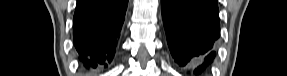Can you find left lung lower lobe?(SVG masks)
Returning a JSON list of instances; mask_svg holds the SVG:
<instances>
[{
    "label": "left lung lower lobe",
    "mask_w": 287,
    "mask_h": 76,
    "mask_svg": "<svg viewBox=\"0 0 287 76\" xmlns=\"http://www.w3.org/2000/svg\"><path fill=\"white\" fill-rule=\"evenodd\" d=\"M168 46L180 67L205 72L215 57L214 44L220 36L216 0H161Z\"/></svg>",
    "instance_id": "0a47b994"
}]
</instances>
